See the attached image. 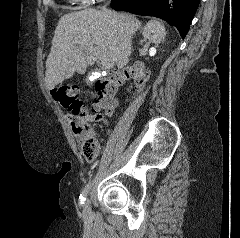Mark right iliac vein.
I'll return each mask as SVG.
<instances>
[{"mask_svg": "<svg viewBox=\"0 0 240 238\" xmlns=\"http://www.w3.org/2000/svg\"><path fill=\"white\" fill-rule=\"evenodd\" d=\"M84 213L85 215H88L90 213L89 201H87L84 205Z\"/></svg>", "mask_w": 240, "mask_h": 238, "instance_id": "1", "label": "right iliac vein"}]
</instances>
